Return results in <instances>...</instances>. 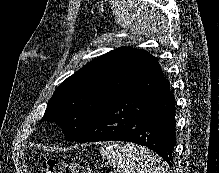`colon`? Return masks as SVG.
<instances>
[{"instance_id":"1","label":"colon","mask_w":219,"mask_h":173,"mask_svg":"<svg viewBox=\"0 0 219 173\" xmlns=\"http://www.w3.org/2000/svg\"><path fill=\"white\" fill-rule=\"evenodd\" d=\"M38 173H92L88 167L80 166L57 158L42 163Z\"/></svg>"}]
</instances>
